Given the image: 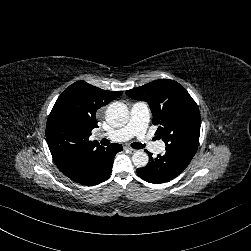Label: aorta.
Returning a JSON list of instances; mask_svg holds the SVG:
<instances>
[{
    "label": "aorta",
    "mask_w": 251,
    "mask_h": 251,
    "mask_svg": "<svg viewBox=\"0 0 251 251\" xmlns=\"http://www.w3.org/2000/svg\"><path fill=\"white\" fill-rule=\"evenodd\" d=\"M129 110L126 104L114 102L106 110V121L112 127H123L128 123ZM134 165L138 168L145 167L148 164L149 157L144 151H135L132 156Z\"/></svg>",
    "instance_id": "762f6f07"
}]
</instances>
